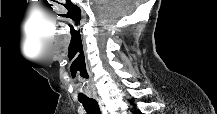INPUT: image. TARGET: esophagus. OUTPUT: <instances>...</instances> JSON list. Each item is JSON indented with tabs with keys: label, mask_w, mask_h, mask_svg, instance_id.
Returning <instances> with one entry per match:
<instances>
[{
	"label": "esophagus",
	"mask_w": 217,
	"mask_h": 114,
	"mask_svg": "<svg viewBox=\"0 0 217 114\" xmlns=\"http://www.w3.org/2000/svg\"><path fill=\"white\" fill-rule=\"evenodd\" d=\"M99 106H100V109L101 111L104 113L105 112V108H104V102H103V99L101 97H98V96H95Z\"/></svg>",
	"instance_id": "34e87169"
}]
</instances>
